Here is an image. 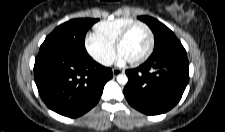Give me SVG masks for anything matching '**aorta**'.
<instances>
[{"label":"aorta","instance_id":"762f6f07","mask_svg":"<svg viewBox=\"0 0 225 132\" xmlns=\"http://www.w3.org/2000/svg\"><path fill=\"white\" fill-rule=\"evenodd\" d=\"M117 82L121 85H126L128 82V77L125 74H119L117 76Z\"/></svg>","mask_w":225,"mask_h":132}]
</instances>
